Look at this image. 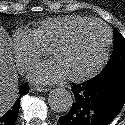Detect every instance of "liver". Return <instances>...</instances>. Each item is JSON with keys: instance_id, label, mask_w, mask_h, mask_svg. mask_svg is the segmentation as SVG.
Masks as SVG:
<instances>
[{"instance_id": "6515ba94", "label": "liver", "mask_w": 125, "mask_h": 125, "mask_svg": "<svg viewBox=\"0 0 125 125\" xmlns=\"http://www.w3.org/2000/svg\"><path fill=\"white\" fill-rule=\"evenodd\" d=\"M10 38L0 26V115L10 108L16 99L18 75L11 57Z\"/></svg>"}]
</instances>
